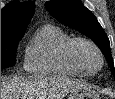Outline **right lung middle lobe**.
I'll return each instance as SVG.
<instances>
[{
  "label": "right lung middle lobe",
  "mask_w": 115,
  "mask_h": 99,
  "mask_svg": "<svg viewBox=\"0 0 115 99\" xmlns=\"http://www.w3.org/2000/svg\"><path fill=\"white\" fill-rule=\"evenodd\" d=\"M23 35H1V69L15 65L16 49Z\"/></svg>",
  "instance_id": "right-lung-middle-lobe-1"
}]
</instances>
